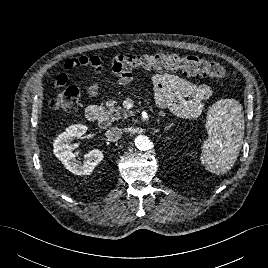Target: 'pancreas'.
<instances>
[{
    "instance_id": "cf45deb5",
    "label": "pancreas",
    "mask_w": 268,
    "mask_h": 268,
    "mask_svg": "<svg viewBox=\"0 0 268 268\" xmlns=\"http://www.w3.org/2000/svg\"><path fill=\"white\" fill-rule=\"evenodd\" d=\"M116 105L117 101L114 100H110L106 103L107 114L111 117L112 120H119L122 118H127L130 115H133L132 111H129Z\"/></svg>"
}]
</instances>
